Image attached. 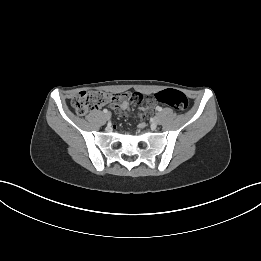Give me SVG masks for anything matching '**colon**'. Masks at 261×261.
Here are the masks:
<instances>
[{"label": "colon", "mask_w": 261, "mask_h": 261, "mask_svg": "<svg viewBox=\"0 0 261 261\" xmlns=\"http://www.w3.org/2000/svg\"><path fill=\"white\" fill-rule=\"evenodd\" d=\"M137 93L138 92H136V94ZM154 98L155 101L169 105L177 111H184L188 105L187 97L182 92L174 89L160 91L155 94ZM116 100H118V96L108 92L85 90L77 93L73 97L72 106L78 114L85 115L100 106Z\"/></svg>", "instance_id": "1"}]
</instances>
